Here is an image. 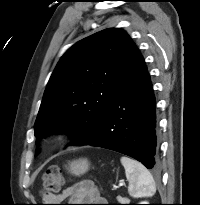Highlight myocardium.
Returning <instances> with one entry per match:
<instances>
[{
	"mask_svg": "<svg viewBox=\"0 0 200 205\" xmlns=\"http://www.w3.org/2000/svg\"><path fill=\"white\" fill-rule=\"evenodd\" d=\"M68 135V131L67 130H63V131H61V133H60V136L61 137H66Z\"/></svg>",
	"mask_w": 200,
	"mask_h": 205,
	"instance_id": "1",
	"label": "myocardium"
}]
</instances>
